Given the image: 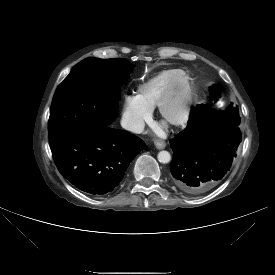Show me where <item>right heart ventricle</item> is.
<instances>
[{
    "label": "right heart ventricle",
    "instance_id": "obj_1",
    "mask_svg": "<svg viewBox=\"0 0 275 275\" xmlns=\"http://www.w3.org/2000/svg\"><path fill=\"white\" fill-rule=\"evenodd\" d=\"M176 69H164L138 85L136 97L145 107L152 110L170 83Z\"/></svg>",
    "mask_w": 275,
    "mask_h": 275
}]
</instances>
